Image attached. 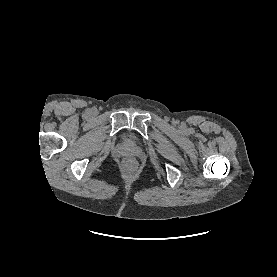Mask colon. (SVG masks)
Masks as SVG:
<instances>
[{"label": "colon", "mask_w": 277, "mask_h": 277, "mask_svg": "<svg viewBox=\"0 0 277 277\" xmlns=\"http://www.w3.org/2000/svg\"><path fill=\"white\" fill-rule=\"evenodd\" d=\"M124 166L125 168H127L128 170H134L135 169V166H136V163L133 159L131 158H128L124 161Z\"/></svg>", "instance_id": "5ec220e1"}]
</instances>
